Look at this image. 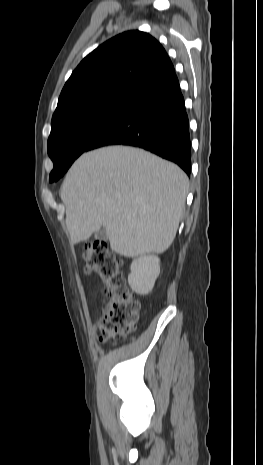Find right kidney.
I'll list each match as a JSON object with an SVG mask.
<instances>
[{
    "label": "right kidney",
    "mask_w": 263,
    "mask_h": 465,
    "mask_svg": "<svg viewBox=\"0 0 263 465\" xmlns=\"http://www.w3.org/2000/svg\"><path fill=\"white\" fill-rule=\"evenodd\" d=\"M128 283L133 291L139 294L149 293L160 273V260L157 256H141L133 260Z\"/></svg>",
    "instance_id": "right-kidney-1"
}]
</instances>
